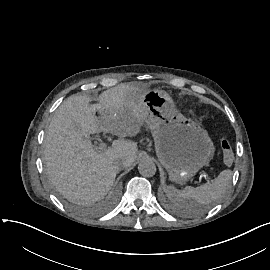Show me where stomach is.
I'll use <instances>...</instances> for the list:
<instances>
[{
    "label": "stomach",
    "mask_w": 270,
    "mask_h": 270,
    "mask_svg": "<svg viewBox=\"0 0 270 270\" xmlns=\"http://www.w3.org/2000/svg\"><path fill=\"white\" fill-rule=\"evenodd\" d=\"M143 98L149 109L145 121L153 135L156 156L169 180L182 185L208 166L214 144L198 123L169 110L171 99L163 90L146 91Z\"/></svg>",
    "instance_id": "0dacf381"
}]
</instances>
